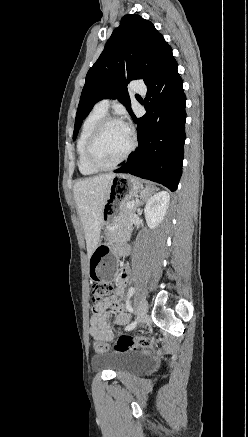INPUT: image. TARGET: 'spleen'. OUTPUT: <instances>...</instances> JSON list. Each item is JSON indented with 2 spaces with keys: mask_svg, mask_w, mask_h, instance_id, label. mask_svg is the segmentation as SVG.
Segmentation results:
<instances>
[{
  "mask_svg": "<svg viewBox=\"0 0 248 437\" xmlns=\"http://www.w3.org/2000/svg\"><path fill=\"white\" fill-rule=\"evenodd\" d=\"M146 190H149L148 188H146ZM148 198V196H145V194H144V199H147Z\"/></svg>",
  "mask_w": 248,
  "mask_h": 437,
  "instance_id": "obj_1",
  "label": "spleen"
}]
</instances>
